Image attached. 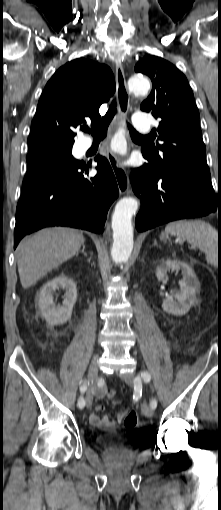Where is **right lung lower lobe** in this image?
<instances>
[{
	"label": "right lung lower lobe",
	"instance_id": "1",
	"mask_svg": "<svg viewBox=\"0 0 221 510\" xmlns=\"http://www.w3.org/2000/svg\"><path fill=\"white\" fill-rule=\"evenodd\" d=\"M97 174L87 178L90 163L69 175L45 176L23 185L16 209L14 248L27 234L48 226H70L102 233L108 209L118 197L115 176L106 158L97 156Z\"/></svg>",
	"mask_w": 221,
	"mask_h": 510
}]
</instances>
